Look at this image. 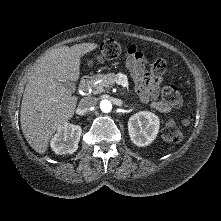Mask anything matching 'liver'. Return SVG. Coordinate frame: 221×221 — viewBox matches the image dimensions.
I'll return each mask as SVG.
<instances>
[{
    "mask_svg": "<svg viewBox=\"0 0 221 221\" xmlns=\"http://www.w3.org/2000/svg\"><path fill=\"white\" fill-rule=\"evenodd\" d=\"M97 47L96 43L61 46L36 62L23 94L20 123L27 142L39 154L47 151L53 134L75 112L78 98L61 81H77L81 58Z\"/></svg>",
    "mask_w": 221,
    "mask_h": 221,
    "instance_id": "6515ba94",
    "label": "liver"
}]
</instances>
